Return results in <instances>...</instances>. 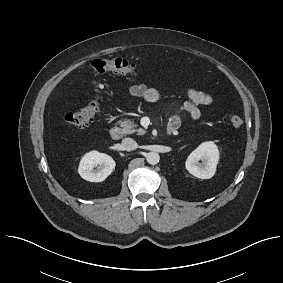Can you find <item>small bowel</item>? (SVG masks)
I'll use <instances>...</instances> for the list:
<instances>
[{
  "label": "small bowel",
  "instance_id": "obj_1",
  "mask_svg": "<svg viewBox=\"0 0 283 283\" xmlns=\"http://www.w3.org/2000/svg\"><path fill=\"white\" fill-rule=\"evenodd\" d=\"M128 94L144 99L147 102H156L160 98V93L157 89L148 87L144 84L134 85L129 88ZM188 100L182 103L177 111L171 116L168 126H172L175 130L179 129L182 124L184 114H187L191 120H198L201 116L200 106H210L213 103V98L202 91L188 88L186 90Z\"/></svg>",
  "mask_w": 283,
  "mask_h": 283
}]
</instances>
